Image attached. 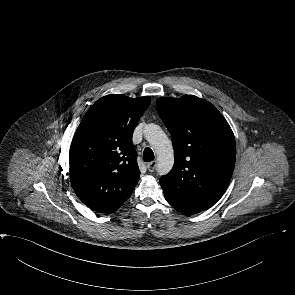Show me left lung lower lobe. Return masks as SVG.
Masks as SVG:
<instances>
[{
    "label": "left lung lower lobe",
    "mask_w": 295,
    "mask_h": 295,
    "mask_svg": "<svg viewBox=\"0 0 295 295\" xmlns=\"http://www.w3.org/2000/svg\"><path fill=\"white\" fill-rule=\"evenodd\" d=\"M167 200V199H166ZM168 201V200H167ZM168 203L170 204V205H172V203H170L169 201H168ZM173 206V205H172Z\"/></svg>",
    "instance_id": "1"
}]
</instances>
